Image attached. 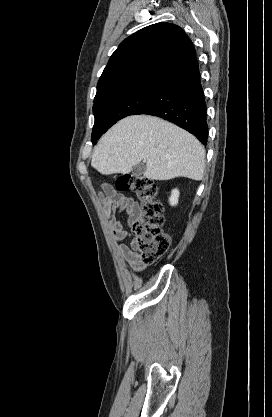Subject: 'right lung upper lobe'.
Masks as SVG:
<instances>
[{
  "label": "right lung upper lobe",
  "mask_w": 272,
  "mask_h": 417,
  "mask_svg": "<svg viewBox=\"0 0 272 417\" xmlns=\"http://www.w3.org/2000/svg\"><path fill=\"white\" fill-rule=\"evenodd\" d=\"M194 60L193 43L179 26L157 23L145 27L126 38L112 54L94 101L126 88L162 85Z\"/></svg>",
  "instance_id": "obj_1"
}]
</instances>
